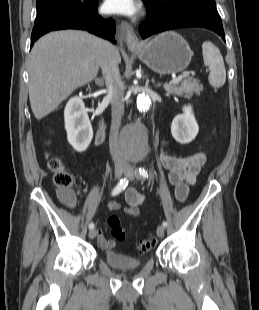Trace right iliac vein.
<instances>
[{
	"label": "right iliac vein",
	"instance_id": "obj_1",
	"mask_svg": "<svg viewBox=\"0 0 259 310\" xmlns=\"http://www.w3.org/2000/svg\"><path fill=\"white\" fill-rule=\"evenodd\" d=\"M125 171H126V166L125 165L117 164L115 166V171H114L115 177L116 178H120ZM96 234H97L96 229H91L89 231L88 236H89L90 239H94L96 237Z\"/></svg>",
	"mask_w": 259,
	"mask_h": 310
}]
</instances>
